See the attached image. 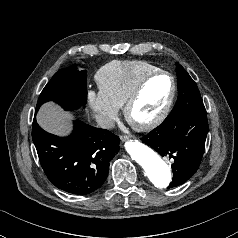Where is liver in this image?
<instances>
[{
    "label": "liver",
    "instance_id": "6515ba94",
    "mask_svg": "<svg viewBox=\"0 0 238 238\" xmlns=\"http://www.w3.org/2000/svg\"><path fill=\"white\" fill-rule=\"evenodd\" d=\"M70 118V113L53 102L45 103L37 114V121L44 130L60 136L70 132Z\"/></svg>",
    "mask_w": 238,
    "mask_h": 238
}]
</instances>
